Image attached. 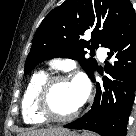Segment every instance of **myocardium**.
<instances>
[{
    "label": "myocardium",
    "instance_id": "obj_1",
    "mask_svg": "<svg viewBox=\"0 0 136 136\" xmlns=\"http://www.w3.org/2000/svg\"><path fill=\"white\" fill-rule=\"evenodd\" d=\"M58 82H70V78L66 75H50L41 84L35 100V107L41 117L52 122H68L75 119L81 112L79 106L73 113L66 116H58L54 114L49 105V96L52 87Z\"/></svg>",
    "mask_w": 136,
    "mask_h": 136
}]
</instances>
